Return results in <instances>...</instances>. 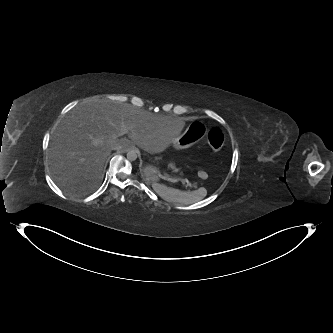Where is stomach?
I'll use <instances>...</instances> for the list:
<instances>
[{
    "mask_svg": "<svg viewBox=\"0 0 333 333\" xmlns=\"http://www.w3.org/2000/svg\"><path fill=\"white\" fill-rule=\"evenodd\" d=\"M207 128L200 121L192 122L188 130L173 142L177 149H185L196 143V141L206 134ZM143 177L151 184H160L165 179V170L158 163H148L143 168Z\"/></svg>",
    "mask_w": 333,
    "mask_h": 333,
    "instance_id": "1",
    "label": "stomach"
}]
</instances>
